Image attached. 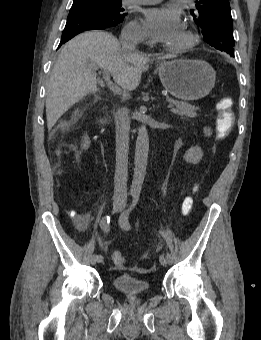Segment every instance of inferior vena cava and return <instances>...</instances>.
Returning a JSON list of instances; mask_svg holds the SVG:
<instances>
[{
    "label": "inferior vena cava",
    "mask_w": 261,
    "mask_h": 340,
    "mask_svg": "<svg viewBox=\"0 0 261 340\" xmlns=\"http://www.w3.org/2000/svg\"><path fill=\"white\" fill-rule=\"evenodd\" d=\"M140 38L135 33L123 31L120 36L122 48L133 51ZM125 96V94H124ZM116 128V170L114 177V198L126 199L127 197V174H128V149L130 119L128 109L123 107L115 114Z\"/></svg>",
    "instance_id": "obj_1"
}]
</instances>
